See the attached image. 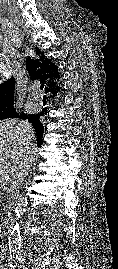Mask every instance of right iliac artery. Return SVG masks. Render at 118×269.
<instances>
[{
    "label": "right iliac artery",
    "mask_w": 118,
    "mask_h": 269,
    "mask_svg": "<svg viewBox=\"0 0 118 269\" xmlns=\"http://www.w3.org/2000/svg\"><path fill=\"white\" fill-rule=\"evenodd\" d=\"M18 264V257L17 256H10L9 258V265L11 268H15Z\"/></svg>",
    "instance_id": "82829eb1"
}]
</instances>
